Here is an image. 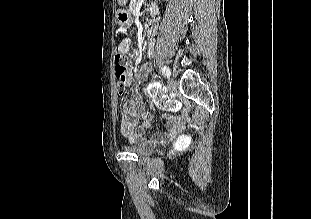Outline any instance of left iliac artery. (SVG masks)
Here are the masks:
<instances>
[{
	"label": "left iliac artery",
	"mask_w": 311,
	"mask_h": 219,
	"mask_svg": "<svg viewBox=\"0 0 311 219\" xmlns=\"http://www.w3.org/2000/svg\"><path fill=\"white\" fill-rule=\"evenodd\" d=\"M161 71L162 73L166 76V77H170L171 72L170 69L167 66H162L161 67Z\"/></svg>",
	"instance_id": "1"
}]
</instances>
